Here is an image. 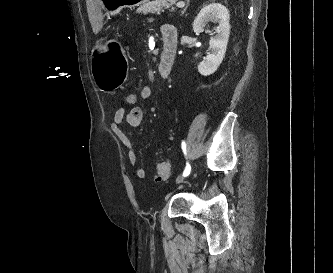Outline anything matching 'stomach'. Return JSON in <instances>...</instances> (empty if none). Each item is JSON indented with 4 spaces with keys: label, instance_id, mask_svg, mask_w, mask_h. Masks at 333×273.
I'll list each match as a JSON object with an SVG mask.
<instances>
[{
    "label": "stomach",
    "instance_id": "0dacf381",
    "mask_svg": "<svg viewBox=\"0 0 333 273\" xmlns=\"http://www.w3.org/2000/svg\"><path fill=\"white\" fill-rule=\"evenodd\" d=\"M149 0H96L102 4L101 14L107 16L118 14L125 7L134 8ZM128 58H122L121 53H115L109 43L97 44L91 64V72L95 84L100 91L107 92L119 88L122 75H127Z\"/></svg>",
    "mask_w": 333,
    "mask_h": 273
}]
</instances>
